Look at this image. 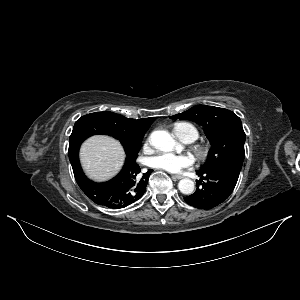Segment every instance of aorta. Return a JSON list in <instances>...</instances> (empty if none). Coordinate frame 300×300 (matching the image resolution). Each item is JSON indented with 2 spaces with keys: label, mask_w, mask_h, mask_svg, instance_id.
Masks as SVG:
<instances>
[{
  "label": "aorta",
  "mask_w": 300,
  "mask_h": 300,
  "mask_svg": "<svg viewBox=\"0 0 300 300\" xmlns=\"http://www.w3.org/2000/svg\"><path fill=\"white\" fill-rule=\"evenodd\" d=\"M150 142L153 147L162 151H169L175 147V140L164 130H155L151 133ZM178 188L181 193L190 195L194 192V182L189 178H184L179 181Z\"/></svg>",
  "instance_id": "1"
}]
</instances>
